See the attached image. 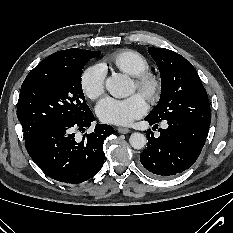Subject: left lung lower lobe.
<instances>
[{
	"mask_svg": "<svg viewBox=\"0 0 233 233\" xmlns=\"http://www.w3.org/2000/svg\"><path fill=\"white\" fill-rule=\"evenodd\" d=\"M150 125L158 128L155 120L145 117ZM168 127L160 128L159 137L151 130L146 132L147 149L141 154V164L149 172L172 176L192 166L200 155L209 132V126L188 118L166 120Z\"/></svg>",
	"mask_w": 233,
	"mask_h": 233,
	"instance_id": "0a47b994",
	"label": "left lung lower lobe"
}]
</instances>
